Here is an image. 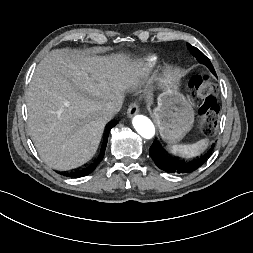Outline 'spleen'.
I'll use <instances>...</instances> for the list:
<instances>
[{
    "label": "spleen",
    "instance_id": "spleen-1",
    "mask_svg": "<svg viewBox=\"0 0 253 253\" xmlns=\"http://www.w3.org/2000/svg\"><path fill=\"white\" fill-rule=\"evenodd\" d=\"M207 144V139H201L198 142L190 145H172L171 149L173 152H177L185 156H195L204 150Z\"/></svg>",
    "mask_w": 253,
    "mask_h": 253
}]
</instances>
